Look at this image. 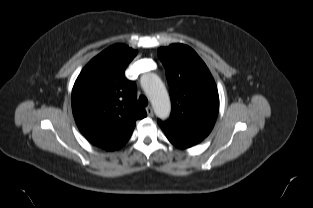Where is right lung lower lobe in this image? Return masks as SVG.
<instances>
[{
	"label": "right lung lower lobe",
	"mask_w": 313,
	"mask_h": 208,
	"mask_svg": "<svg viewBox=\"0 0 313 208\" xmlns=\"http://www.w3.org/2000/svg\"><path fill=\"white\" fill-rule=\"evenodd\" d=\"M103 149H105V148H103ZM106 150H108V149H106ZM108 151H113V150H108Z\"/></svg>",
	"instance_id": "obj_1"
}]
</instances>
